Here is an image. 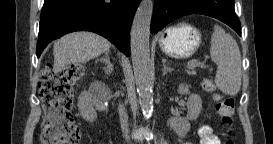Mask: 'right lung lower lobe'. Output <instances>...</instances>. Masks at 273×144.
Wrapping results in <instances>:
<instances>
[{
  "mask_svg": "<svg viewBox=\"0 0 273 144\" xmlns=\"http://www.w3.org/2000/svg\"><path fill=\"white\" fill-rule=\"evenodd\" d=\"M140 0H44L37 57L45 47L74 31H91L130 56L129 31Z\"/></svg>",
  "mask_w": 273,
  "mask_h": 144,
  "instance_id": "98d812e1",
  "label": "right lung lower lobe"
}]
</instances>
